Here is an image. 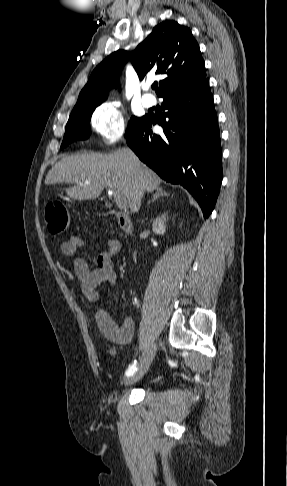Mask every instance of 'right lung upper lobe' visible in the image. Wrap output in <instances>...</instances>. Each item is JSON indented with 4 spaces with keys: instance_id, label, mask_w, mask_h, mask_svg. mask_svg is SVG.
<instances>
[{
    "instance_id": "obj_1",
    "label": "right lung upper lobe",
    "mask_w": 287,
    "mask_h": 486,
    "mask_svg": "<svg viewBox=\"0 0 287 486\" xmlns=\"http://www.w3.org/2000/svg\"><path fill=\"white\" fill-rule=\"evenodd\" d=\"M130 56L140 80L149 72L166 76L159 82L158 96L199 83L206 77L204 60L190 29L166 20L155 26L132 54L118 50L104 59L93 70L71 114L105 101L109 89L117 87L119 74Z\"/></svg>"
}]
</instances>
